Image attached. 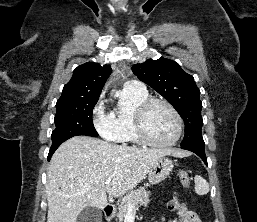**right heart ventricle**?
<instances>
[{"mask_svg":"<svg viewBox=\"0 0 257 222\" xmlns=\"http://www.w3.org/2000/svg\"><path fill=\"white\" fill-rule=\"evenodd\" d=\"M149 98L147 91L124 88L119 96L117 108L111 113L117 137L115 142L137 145L140 140L135 130V113L142 102Z\"/></svg>","mask_w":257,"mask_h":222,"instance_id":"obj_1","label":"right heart ventricle"}]
</instances>
